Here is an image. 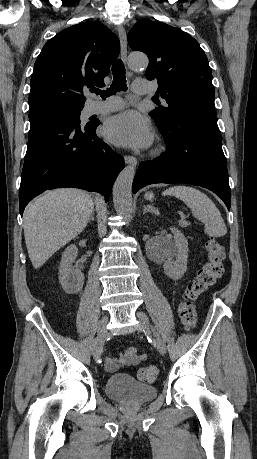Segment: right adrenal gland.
Segmentation results:
<instances>
[{"label": "right adrenal gland", "instance_id": "right-adrenal-gland-1", "mask_svg": "<svg viewBox=\"0 0 257 459\" xmlns=\"http://www.w3.org/2000/svg\"><path fill=\"white\" fill-rule=\"evenodd\" d=\"M89 221H94V212L92 213Z\"/></svg>", "mask_w": 257, "mask_h": 459}]
</instances>
